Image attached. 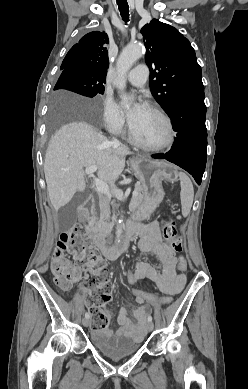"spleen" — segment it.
I'll return each mask as SVG.
<instances>
[{
    "mask_svg": "<svg viewBox=\"0 0 248 389\" xmlns=\"http://www.w3.org/2000/svg\"><path fill=\"white\" fill-rule=\"evenodd\" d=\"M180 179V198L182 206V215L184 217L188 216L193 204L194 199V188L190 178L183 172L179 173Z\"/></svg>",
    "mask_w": 248,
    "mask_h": 389,
    "instance_id": "obj_1",
    "label": "spleen"
}]
</instances>
